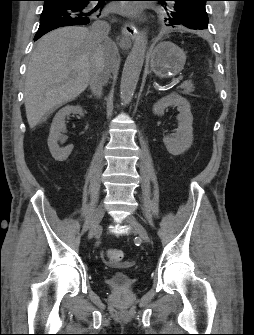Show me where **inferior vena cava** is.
Returning a JSON list of instances; mask_svg holds the SVG:
<instances>
[{
	"instance_id": "1",
	"label": "inferior vena cava",
	"mask_w": 254,
	"mask_h": 335,
	"mask_svg": "<svg viewBox=\"0 0 254 335\" xmlns=\"http://www.w3.org/2000/svg\"><path fill=\"white\" fill-rule=\"evenodd\" d=\"M110 26L105 21H96L90 29V36L95 43H101L108 40ZM110 77V72L107 70L104 61L101 57H96L93 67L90 72L89 85L92 93L100 97L102 95V87Z\"/></svg>"
}]
</instances>
